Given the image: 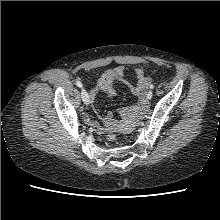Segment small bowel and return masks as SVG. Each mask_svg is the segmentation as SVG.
Returning <instances> with one entry per match:
<instances>
[{
  "label": "small bowel",
  "mask_w": 220,
  "mask_h": 220,
  "mask_svg": "<svg viewBox=\"0 0 220 220\" xmlns=\"http://www.w3.org/2000/svg\"><path fill=\"white\" fill-rule=\"evenodd\" d=\"M126 73L127 70L123 67H115L105 70L97 80L96 86L90 90V98L94 99L96 95L100 94L106 99H112L116 94L114 80L118 79L127 82ZM132 73L136 78V84L129 85V89L132 94L137 95L140 98L136 110H143L146 105V90L151 85L152 79L146 75V72L142 67H133ZM110 120L111 117L109 116L104 124H99L91 115L87 114L85 116V121L98 130H103L107 127Z\"/></svg>",
  "instance_id": "obj_1"
}]
</instances>
